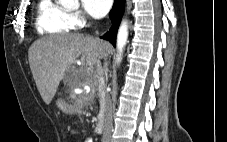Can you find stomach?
<instances>
[{
    "label": "stomach",
    "mask_w": 227,
    "mask_h": 142,
    "mask_svg": "<svg viewBox=\"0 0 227 142\" xmlns=\"http://www.w3.org/2000/svg\"><path fill=\"white\" fill-rule=\"evenodd\" d=\"M60 106H61V108H65L64 105H63L62 103H60Z\"/></svg>",
    "instance_id": "1"
}]
</instances>
